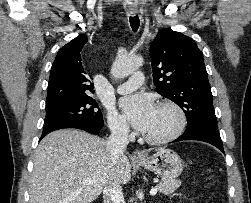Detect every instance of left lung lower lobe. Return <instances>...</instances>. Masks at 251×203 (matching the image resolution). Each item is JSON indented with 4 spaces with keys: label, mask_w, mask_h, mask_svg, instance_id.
I'll return each instance as SVG.
<instances>
[{
    "label": "left lung lower lobe",
    "mask_w": 251,
    "mask_h": 203,
    "mask_svg": "<svg viewBox=\"0 0 251 203\" xmlns=\"http://www.w3.org/2000/svg\"><path fill=\"white\" fill-rule=\"evenodd\" d=\"M183 140L204 141L212 144L224 153L222 140L218 130H212L209 128H198L192 131H185L179 138H177L173 142Z\"/></svg>",
    "instance_id": "obj_1"
}]
</instances>
